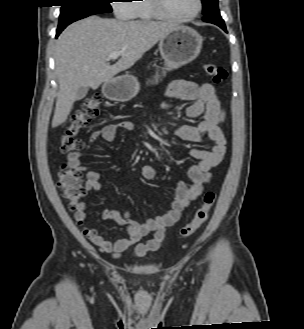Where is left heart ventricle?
<instances>
[{"label": "left heart ventricle", "mask_w": 304, "mask_h": 329, "mask_svg": "<svg viewBox=\"0 0 304 329\" xmlns=\"http://www.w3.org/2000/svg\"><path fill=\"white\" fill-rule=\"evenodd\" d=\"M167 10L177 16H187L195 12L197 0H164Z\"/></svg>", "instance_id": "b2bd125f"}]
</instances>
